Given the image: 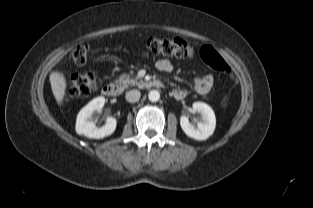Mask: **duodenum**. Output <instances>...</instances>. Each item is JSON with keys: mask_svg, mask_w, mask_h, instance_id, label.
<instances>
[{"mask_svg": "<svg viewBox=\"0 0 313 208\" xmlns=\"http://www.w3.org/2000/svg\"><path fill=\"white\" fill-rule=\"evenodd\" d=\"M141 89H150V88H162L163 83L159 80H141L138 83ZM102 93L108 97L118 96L120 93V86L116 83H107L102 87Z\"/></svg>", "mask_w": 313, "mask_h": 208, "instance_id": "1", "label": "duodenum"}]
</instances>
